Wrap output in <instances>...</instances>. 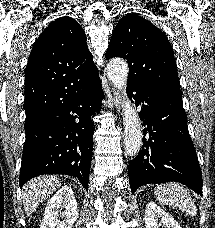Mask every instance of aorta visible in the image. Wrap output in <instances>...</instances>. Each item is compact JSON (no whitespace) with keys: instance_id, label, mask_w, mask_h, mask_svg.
<instances>
[{"instance_id":"1","label":"aorta","mask_w":215,"mask_h":228,"mask_svg":"<svg viewBox=\"0 0 215 228\" xmlns=\"http://www.w3.org/2000/svg\"><path fill=\"white\" fill-rule=\"evenodd\" d=\"M129 68L125 60H111L107 66V76L122 98L124 144L128 156H136L142 144V126L139 116L126 92Z\"/></svg>"}]
</instances>
